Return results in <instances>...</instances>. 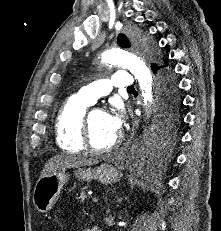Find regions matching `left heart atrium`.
<instances>
[{"instance_id": "1", "label": "left heart atrium", "mask_w": 221, "mask_h": 231, "mask_svg": "<svg viewBox=\"0 0 221 231\" xmlns=\"http://www.w3.org/2000/svg\"><path fill=\"white\" fill-rule=\"evenodd\" d=\"M107 120L110 128L118 133L123 125V115L120 112L107 113Z\"/></svg>"}]
</instances>
